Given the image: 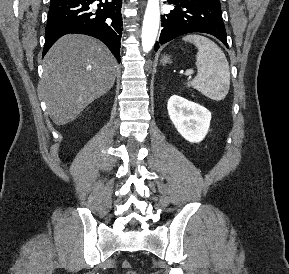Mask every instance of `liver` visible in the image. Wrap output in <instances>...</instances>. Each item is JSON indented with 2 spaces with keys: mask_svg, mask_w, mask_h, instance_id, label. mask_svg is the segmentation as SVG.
I'll return each mask as SVG.
<instances>
[{
  "mask_svg": "<svg viewBox=\"0 0 289 274\" xmlns=\"http://www.w3.org/2000/svg\"><path fill=\"white\" fill-rule=\"evenodd\" d=\"M117 61L99 40L78 34L61 37L44 58L39 93L52 121L74 120L114 85Z\"/></svg>",
  "mask_w": 289,
  "mask_h": 274,
  "instance_id": "1",
  "label": "liver"
}]
</instances>
